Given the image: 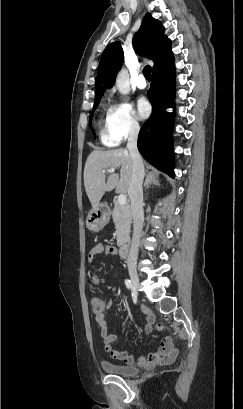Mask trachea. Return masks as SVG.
<instances>
[{
	"mask_svg": "<svg viewBox=\"0 0 243 409\" xmlns=\"http://www.w3.org/2000/svg\"><path fill=\"white\" fill-rule=\"evenodd\" d=\"M143 75L147 80H151V67L146 65L143 69Z\"/></svg>",
	"mask_w": 243,
	"mask_h": 409,
	"instance_id": "3493384b",
	"label": "trachea"
}]
</instances>
